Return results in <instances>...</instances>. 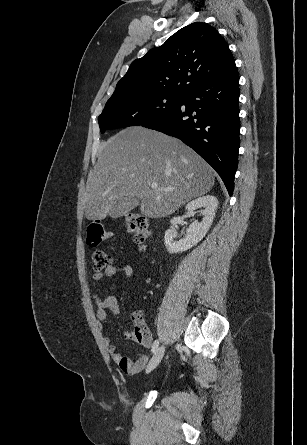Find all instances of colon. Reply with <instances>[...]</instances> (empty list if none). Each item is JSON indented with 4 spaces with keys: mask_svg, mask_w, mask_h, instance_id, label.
<instances>
[{
    "mask_svg": "<svg viewBox=\"0 0 307 445\" xmlns=\"http://www.w3.org/2000/svg\"><path fill=\"white\" fill-rule=\"evenodd\" d=\"M125 222L134 241L143 248L150 237V230L146 218L139 214H127L125 216ZM111 237L112 233L107 231L103 223L99 220L92 221L87 227L86 243L89 247H97L101 242ZM92 259L96 271L105 270L112 265L111 257L103 250L94 251ZM132 321L135 325L134 331L131 334L132 340L144 346L150 345L151 336L144 323L143 313L139 311L133 313Z\"/></svg>",
    "mask_w": 307,
    "mask_h": 445,
    "instance_id": "5ec220e1",
    "label": "colon"
}]
</instances>
